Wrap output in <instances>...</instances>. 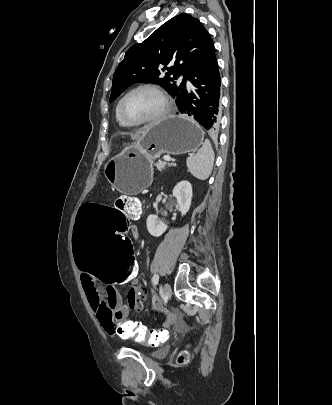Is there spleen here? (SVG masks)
I'll return each instance as SVG.
<instances>
[{"instance_id":"obj_1","label":"spleen","mask_w":332,"mask_h":405,"mask_svg":"<svg viewBox=\"0 0 332 405\" xmlns=\"http://www.w3.org/2000/svg\"><path fill=\"white\" fill-rule=\"evenodd\" d=\"M188 171L199 180L209 178L214 164V151L211 142L206 139L196 155L186 160Z\"/></svg>"}]
</instances>
